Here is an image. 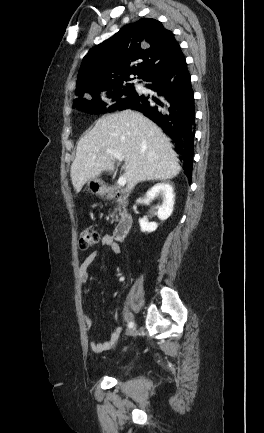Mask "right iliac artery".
<instances>
[{
  "mask_svg": "<svg viewBox=\"0 0 264 433\" xmlns=\"http://www.w3.org/2000/svg\"><path fill=\"white\" fill-rule=\"evenodd\" d=\"M133 326H134V323L132 322V321H130V322H128V328H133Z\"/></svg>",
  "mask_w": 264,
  "mask_h": 433,
  "instance_id": "1",
  "label": "right iliac artery"
}]
</instances>
